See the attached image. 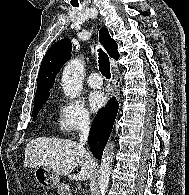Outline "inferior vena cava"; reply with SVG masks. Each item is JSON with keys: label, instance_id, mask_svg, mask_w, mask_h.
<instances>
[{"label": "inferior vena cava", "instance_id": "602c4592", "mask_svg": "<svg viewBox=\"0 0 189 195\" xmlns=\"http://www.w3.org/2000/svg\"><path fill=\"white\" fill-rule=\"evenodd\" d=\"M90 121L88 116H83L78 121L80 144L84 145L88 140Z\"/></svg>", "mask_w": 189, "mask_h": 195}]
</instances>
